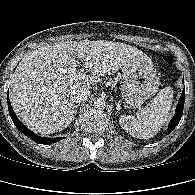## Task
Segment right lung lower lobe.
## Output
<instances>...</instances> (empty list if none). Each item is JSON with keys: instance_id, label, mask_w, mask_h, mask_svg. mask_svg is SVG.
Wrapping results in <instances>:
<instances>
[{"instance_id": "right-lung-lower-lobe-1", "label": "right lung lower lobe", "mask_w": 195, "mask_h": 195, "mask_svg": "<svg viewBox=\"0 0 195 195\" xmlns=\"http://www.w3.org/2000/svg\"><path fill=\"white\" fill-rule=\"evenodd\" d=\"M8 110H9V115L13 121V123L15 124V126L27 137L31 138L34 142L38 143V144H52V143H56L57 141L63 139L62 137H58V138H46V137H40L37 134H35L34 132H32L31 130H29L26 126H24L21 121L18 120V118L16 117L9 97H8Z\"/></svg>"}]
</instances>
